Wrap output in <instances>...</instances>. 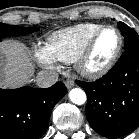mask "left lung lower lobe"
I'll list each match as a JSON object with an SVG mask.
<instances>
[{"label": "left lung lower lobe", "mask_w": 139, "mask_h": 139, "mask_svg": "<svg viewBox=\"0 0 139 139\" xmlns=\"http://www.w3.org/2000/svg\"><path fill=\"white\" fill-rule=\"evenodd\" d=\"M76 83L87 94L85 111L94 131L119 138L139 126V46L125 50L102 79Z\"/></svg>", "instance_id": "0a47b994"}]
</instances>
